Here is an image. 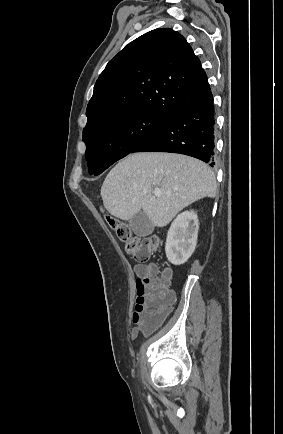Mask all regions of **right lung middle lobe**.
Listing matches in <instances>:
<instances>
[{
	"label": "right lung middle lobe",
	"instance_id": "dd1d6c3e",
	"mask_svg": "<svg viewBox=\"0 0 283 434\" xmlns=\"http://www.w3.org/2000/svg\"><path fill=\"white\" fill-rule=\"evenodd\" d=\"M170 117L136 111L107 119L83 130L89 174L98 175L125 157Z\"/></svg>",
	"mask_w": 283,
	"mask_h": 434
}]
</instances>
